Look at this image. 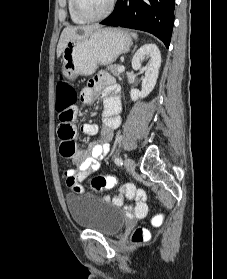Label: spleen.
<instances>
[{
  "label": "spleen",
  "instance_id": "1",
  "mask_svg": "<svg viewBox=\"0 0 227 279\" xmlns=\"http://www.w3.org/2000/svg\"><path fill=\"white\" fill-rule=\"evenodd\" d=\"M131 35H132V37H133L134 39H137V37H138L137 34H136V33H133V32L131 33Z\"/></svg>",
  "mask_w": 227,
  "mask_h": 279
}]
</instances>
